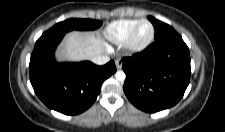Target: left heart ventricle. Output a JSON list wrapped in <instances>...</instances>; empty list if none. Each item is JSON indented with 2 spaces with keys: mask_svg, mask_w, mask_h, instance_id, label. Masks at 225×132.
<instances>
[{
  "mask_svg": "<svg viewBox=\"0 0 225 132\" xmlns=\"http://www.w3.org/2000/svg\"><path fill=\"white\" fill-rule=\"evenodd\" d=\"M151 28L147 23H143L137 31L136 38L141 41L146 39L150 35Z\"/></svg>",
  "mask_w": 225,
  "mask_h": 132,
  "instance_id": "1",
  "label": "left heart ventricle"
}]
</instances>
